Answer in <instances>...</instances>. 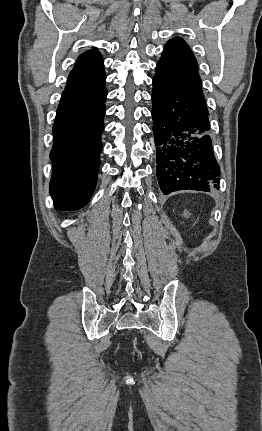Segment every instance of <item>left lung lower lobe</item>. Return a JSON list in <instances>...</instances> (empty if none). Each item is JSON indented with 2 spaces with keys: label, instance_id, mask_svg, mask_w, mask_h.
Listing matches in <instances>:
<instances>
[{
  "label": "left lung lower lobe",
  "instance_id": "1",
  "mask_svg": "<svg viewBox=\"0 0 262 431\" xmlns=\"http://www.w3.org/2000/svg\"><path fill=\"white\" fill-rule=\"evenodd\" d=\"M152 118L156 173L162 192L218 189L220 168L209 135L208 111L154 78Z\"/></svg>",
  "mask_w": 262,
  "mask_h": 431
}]
</instances>
